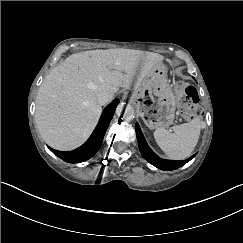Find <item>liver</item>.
Segmentation results:
<instances>
[{
	"label": "liver",
	"mask_w": 243,
	"mask_h": 243,
	"mask_svg": "<svg viewBox=\"0 0 243 243\" xmlns=\"http://www.w3.org/2000/svg\"><path fill=\"white\" fill-rule=\"evenodd\" d=\"M163 56L142 50L108 49L72 54L52 69L36 98L35 119L40 135L57 150L80 146L92 133L102 112L97 95L135 88L161 66Z\"/></svg>",
	"instance_id": "liver-1"
}]
</instances>
